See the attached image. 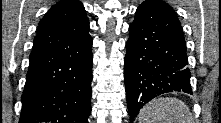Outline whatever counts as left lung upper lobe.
Masks as SVG:
<instances>
[{
    "mask_svg": "<svg viewBox=\"0 0 221 123\" xmlns=\"http://www.w3.org/2000/svg\"><path fill=\"white\" fill-rule=\"evenodd\" d=\"M150 1H152V2H154V3H156V4H158L159 7L163 8L164 10H166V11L172 13L173 15L177 16L176 13H175V11L172 9V7H170V6H169L168 4H166L165 2H163V1H157V0H150Z\"/></svg>",
    "mask_w": 221,
    "mask_h": 123,
    "instance_id": "obj_1",
    "label": "left lung upper lobe"
}]
</instances>
